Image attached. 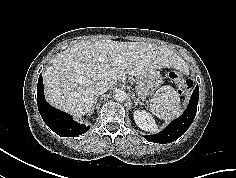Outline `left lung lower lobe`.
I'll return each mask as SVG.
<instances>
[{
    "instance_id": "obj_1",
    "label": "left lung lower lobe",
    "mask_w": 236,
    "mask_h": 178,
    "mask_svg": "<svg viewBox=\"0 0 236 178\" xmlns=\"http://www.w3.org/2000/svg\"><path fill=\"white\" fill-rule=\"evenodd\" d=\"M199 97V87L196 86L193 91L189 105L184 113L176 120L172 121L168 127H166L163 131L155 135H148L145 138L150 142L155 143H170L177 140L181 135H183L187 129L192 124L198 104Z\"/></svg>"
}]
</instances>
